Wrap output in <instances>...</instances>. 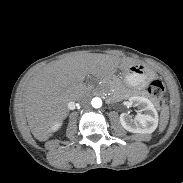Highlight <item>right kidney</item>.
I'll list each match as a JSON object with an SVG mask.
<instances>
[{
	"label": "right kidney",
	"mask_w": 183,
	"mask_h": 183,
	"mask_svg": "<svg viewBox=\"0 0 183 183\" xmlns=\"http://www.w3.org/2000/svg\"><path fill=\"white\" fill-rule=\"evenodd\" d=\"M61 122H57L55 123L52 127H51V130L53 131H56L60 126H61Z\"/></svg>",
	"instance_id": "right-kidney-1"
}]
</instances>
